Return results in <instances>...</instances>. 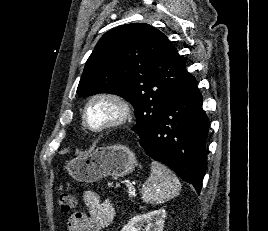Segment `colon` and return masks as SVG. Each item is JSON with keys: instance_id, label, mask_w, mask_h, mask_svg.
I'll use <instances>...</instances> for the list:
<instances>
[{"instance_id": "obj_1", "label": "colon", "mask_w": 268, "mask_h": 231, "mask_svg": "<svg viewBox=\"0 0 268 231\" xmlns=\"http://www.w3.org/2000/svg\"><path fill=\"white\" fill-rule=\"evenodd\" d=\"M58 203L62 213H69L76 206V198L70 193H61Z\"/></svg>"}]
</instances>
